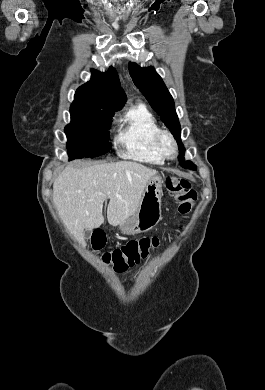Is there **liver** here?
<instances>
[{"instance_id":"6515ba94","label":"liver","mask_w":265,"mask_h":390,"mask_svg":"<svg viewBox=\"0 0 265 390\" xmlns=\"http://www.w3.org/2000/svg\"><path fill=\"white\" fill-rule=\"evenodd\" d=\"M155 174V170L132 161L84 168L70 164L54 180L53 202L65 227L84 244V229L93 230L104 222L102 209L107 199L108 223L118 226L137 211Z\"/></svg>"}]
</instances>
